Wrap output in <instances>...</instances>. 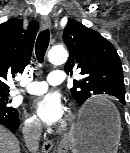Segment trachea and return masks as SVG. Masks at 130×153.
Returning <instances> with one entry per match:
<instances>
[{
	"mask_svg": "<svg viewBox=\"0 0 130 153\" xmlns=\"http://www.w3.org/2000/svg\"><path fill=\"white\" fill-rule=\"evenodd\" d=\"M50 32L48 29L39 33L35 45V54L40 63H43L46 50L49 45Z\"/></svg>",
	"mask_w": 130,
	"mask_h": 153,
	"instance_id": "3493384b",
	"label": "trachea"
}]
</instances>
